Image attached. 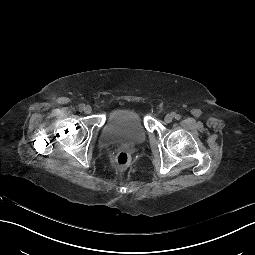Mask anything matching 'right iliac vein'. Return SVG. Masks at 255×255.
I'll use <instances>...</instances> for the list:
<instances>
[{
    "label": "right iliac vein",
    "instance_id": "right-iliac-vein-1",
    "mask_svg": "<svg viewBox=\"0 0 255 255\" xmlns=\"http://www.w3.org/2000/svg\"><path fill=\"white\" fill-rule=\"evenodd\" d=\"M84 112H85L86 114H90V113L92 112L91 106H89V105L85 106Z\"/></svg>",
    "mask_w": 255,
    "mask_h": 255
}]
</instances>
